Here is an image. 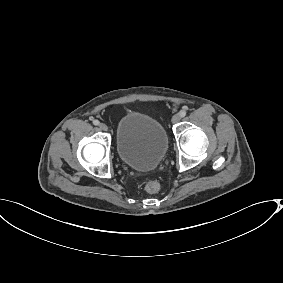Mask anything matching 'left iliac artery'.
Instances as JSON below:
<instances>
[{"mask_svg": "<svg viewBox=\"0 0 283 283\" xmlns=\"http://www.w3.org/2000/svg\"><path fill=\"white\" fill-rule=\"evenodd\" d=\"M179 115H180L181 117H185V116H186V111H185V110L180 111V112H179Z\"/></svg>", "mask_w": 283, "mask_h": 283, "instance_id": "1", "label": "left iliac artery"}]
</instances>
